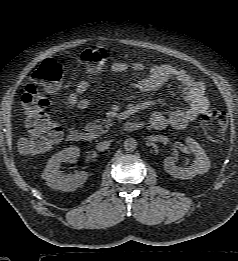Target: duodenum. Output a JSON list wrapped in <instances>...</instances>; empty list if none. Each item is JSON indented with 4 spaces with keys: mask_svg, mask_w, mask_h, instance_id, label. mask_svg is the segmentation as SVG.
<instances>
[{
    "mask_svg": "<svg viewBox=\"0 0 238 261\" xmlns=\"http://www.w3.org/2000/svg\"><path fill=\"white\" fill-rule=\"evenodd\" d=\"M143 124L137 121H128L124 124L123 128L126 132H134L141 129ZM67 138L72 143H85L89 140L86 132L81 130H72L68 133Z\"/></svg>",
    "mask_w": 238,
    "mask_h": 261,
    "instance_id": "1",
    "label": "duodenum"
}]
</instances>
